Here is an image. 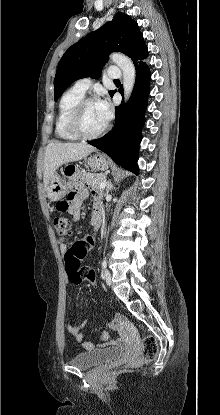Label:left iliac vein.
I'll return each instance as SVG.
<instances>
[{
  "mask_svg": "<svg viewBox=\"0 0 220 415\" xmlns=\"http://www.w3.org/2000/svg\"><path fill=\"white\" fill-rule=\"evenodd\" d=\"M104 279H105V281L108 285L111 284L112 276H111V273L108 270L104 271Z\"/></svg>",
  "mask_w": 220,
  "mask_h": 415,
  "instance_id": "1",
  "label": "left iliac vein"
}]
</instances>
